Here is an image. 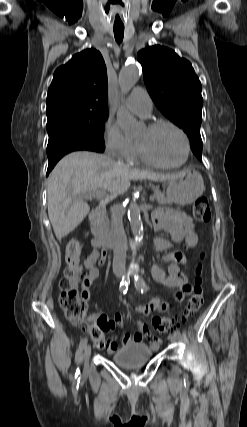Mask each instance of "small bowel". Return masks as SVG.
Returning a JSON list of instances; mask_svg holds the SVG:
<instances>
[{
	"instance_id": "c3829d8e",
	"label": "small bowel",
	"mask_w": 247,
	"mask_h": 427,
	"mask_svg": "<svg viewBox=\"0 0 247 427\" xmlns=\"http://www.w3.org/2000/svg\"><path fill=\"white\" fill-rule=\"evenodd\" d=\"M154 226L156 230H165L170 235V240L157 237L154 241L155 248L159 252H167L174 247L175 244L185 242L189 247H195L198 243V237L195 232V225L190 216L183 212L173 211L171 209H160L154 214ZM93 251L85 258L83 264L87 273L82 282V296L84 299H89L91 286L99 277V269L97 265H103L107 260V252L100 250V246L96 241H92ZM162 260L168 263V274L162 269L159 264L152 267L153 278L163 285L177 289L175 301L182 302L187 294L191 291L188 278L181 273L179 265L186 264V257L180 252H167ZM169 305L159 299H153L144 305L136 307V313L141 316H148L152 312L162 313L167 311ZM89 321L99 325L103 331H112L116 326L123 324V316L121 313H116L112 319L108 318L103 313H95L89 317ZM139 330L135 333H126L122 337L124 345L130 343H141L144 339L149 341L150 347L157 350L161 345V340L155 336L149 326L141 321L137 322ZM118 344L116 339H111L107 342L106 349L109 353H114L117 350Z\"/></svg>"
}]
</instances>
